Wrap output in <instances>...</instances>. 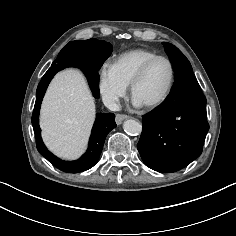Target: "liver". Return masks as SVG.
Instances as JSON below:
<instances>
[{
	"mask_svg": "<svg viewBox=\"0 0 236 236\" xmlns=\"http://www.w3.org/2000/svg\"><path fill=\"white\" fill-rule=\"evenodd\" d=\"M95 119V104L83 75L73 69L58 73L41 106L40 126L46 146L63 159L85 150Z\"/></svg>",
	"mask_w": 236,
	"mask_h": 236,
	"instance_id": "liver-1",
	"label": "liver"
}]
</instances>
